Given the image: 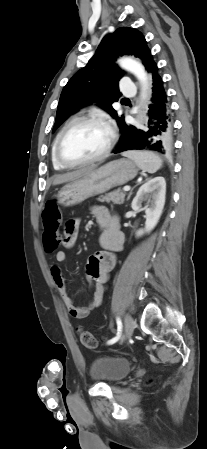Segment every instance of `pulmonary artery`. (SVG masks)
<instances>
[{
    "mask_svg": "<svg viewBox=\"0 0 207 449\" xmlns=\"http://www.w3.org/2000/svg\"><path fill=\"white\" fill-rule=\"evenodd\" d=\"M122 93L125 96L132 97L136 93V88L133 83L127 81L125 87L122 89Z\"/></svg>",
    "mask_w": 207,
    "mask_h": 449,
    "instance_id": "pulmonary-artery-1",
    "label": "pulmonary artery"
}]
</instances>
